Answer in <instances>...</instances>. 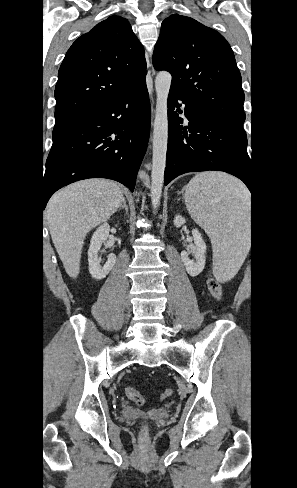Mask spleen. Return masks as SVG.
Masks as SVG:
<instances>
[{
  "label": "spleen",
  "instance_id": "obj_1",
  "mask_svg": "<svg viewBox=\"0 0 297 488\" xmlns=\"http://www.w3.org/2000/svg\"><path fill=\"white\" fill-rule=\"evenodd\" d=\"M186 207L210 237L215 266L229 279L249 249L250 194L236 178L220 172L195 175L185 189Z\"/></svg>",
  "mask_w": 297,
  "mask_h": 488
}]
</instances>
